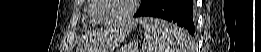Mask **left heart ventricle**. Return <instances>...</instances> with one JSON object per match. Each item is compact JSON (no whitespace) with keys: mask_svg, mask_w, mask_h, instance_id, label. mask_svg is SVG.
Wrapping results in <instances>:
<instances>
[{"mask_svg":"<svg viewBox=\"0 0 261 52\" xmlns=\"http://www.w3.org/2000/svg\"><path fill=\"white\" fill-rule=\"evenodd\" d=\"M104 8L99 11L98 18L112 21L121 16L128 8V0H103Z\"/></svg>","mask_w":261,"mask_h":52,"instance_id":"1","label":"left heart ventricle"}]
</instances>
